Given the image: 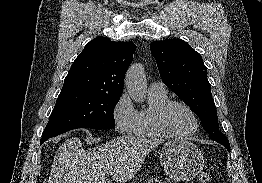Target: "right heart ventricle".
<instances>
[{"instance_id": "e07e8e85", "label": "right heart ventricle", "mask_w": 262, "mask_h": 183, "mask_svg": "<svg viewBox=\"0 0 262 183\" xmlns=\"http://www.w3.org/2000/svg\"><path fill=\"white\" fill-rule=\"evenodd\" d=\"M149 105L137 112V120L134 135L141 138L163 137L156 128L155 116L159 108L169 101L167 92H150L148 94Z\"/></svg>"}]
</instances>
